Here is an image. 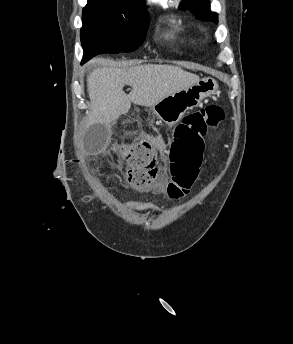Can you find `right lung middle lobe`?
Instances as JSON below:
<instances>
[{
	"instance_id": "obj_1",
	"label": "right lung middle lobe",
	"mask_w": 293,
	"mask_h": 344,
	"mask_svg": "<svg viewBox=\"0 0 293 344\" xmlns=\"http://www.w3.org/2000/svg\"><path fill=\"white\" fill-rule=\"evenodd\" d=\"M82 64L97 54L131 52L144 41L149 19L129 8L87 3L83 9Z\"/></svg>"
}]
</instances>
